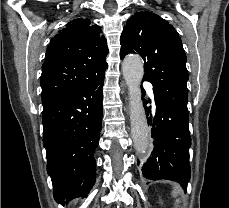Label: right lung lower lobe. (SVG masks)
I'll return each instance as SVG.
<instances>
[{
  "instance_id": "right-lung-lower-lobe-1",
  "label": "right lung lower lobe",
  "mask_w": 229,
  "mask_h": 208,
  "mask_svg": "<svg viewBox=\"0 0 229 208\" xmlns=\"http://www.w3.org/2000/svg\"><path fill=\"white\" fill-rule=\"evenodd\" d=\"M104 73L43 106V145L53 195L64 205L95 183L94 151L102 126Z\"/></svg>"
}]
</instances>
